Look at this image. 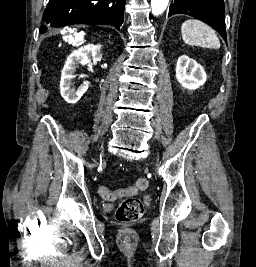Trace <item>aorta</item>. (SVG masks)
Segmentation results:
<instances>
[{"mask_svg":"<svg viewBox=\"0 0 256 267\" xmlns=\"http://www.w3.org/2000/svg\"><path fill=\"white\" fill-rule=\"evenodd\" d=\"M168 4L169 0H151V12L153 16H160V14H163Z\"/></svg>","mask_w":256,"mask_h":267,"instance_id":"1","label":"aorta"}]
</instances>
